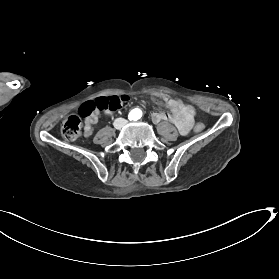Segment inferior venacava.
<instances>
[{
	"instance_id": "inferior-vena-cava-1",
	"label": "inferior vena cava",
	"mask_w": 279,
	"mask_h": 279,
	"mask_svg": "<svg viewBox=\"0 0 279 279\" xmlns=\"http://www.w3.org/2000/svg\"><path fill=\"white\" fill-rule=\"evenodd\" d=\"M127 123H128L127 120L122 119V118H118V119H116L115 122H114V127H115L116 129H120V130H121V128L124 127Z\"/></svg>"
}]
</instances>
